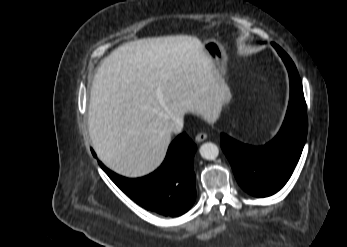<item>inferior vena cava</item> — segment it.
Returning <instances> with one entry per match:
<instances>
[{
	"instance_id": "obj_1",
	"label": "inferior vena cava",
	"mask_w": 347,
	"mask_h": 247,
	"mask_svg": "<svg viewBox=\"0 0 347 247\" xmlns=\"http://www.w3.org/2000/svg\"><path fill=\"white\" fill-rule=\"evenodd\" d=\"M183 118L181 117H176L173 119L172 123L170 124L168 128V132L170 133H180L183 129Z\"/></svg>"
}]
</instances>
